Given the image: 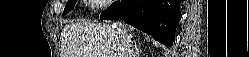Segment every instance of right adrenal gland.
Instances as JSON below:
<instances>
[{"label": "right adrenal gland", "mask_w": 249, "mask_h": 57, "mask_svg": "<svg viewBox=\"0 0 249 57\" xmlns=\"http://www.w3.org/2000/svg\"><path fill=\"white\" fill-rule=\"evenodd\" d=\"M133 42H134V48L136 50V56L138 57L140 50H139L138 46L136 45V42L135 41H133Z\"/></svg>", "instance_id": "right-adrenal-gland-1"}]
</instances>
